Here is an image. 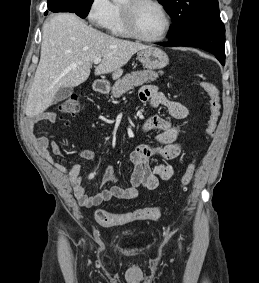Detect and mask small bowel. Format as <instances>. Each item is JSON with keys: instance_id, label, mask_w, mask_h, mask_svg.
Returning <instances> with one entry per match:
<instances>
[{"instance_id": "obj_1", "label": "small bowel", "mask_w": 259, "mask_h": 283, "mask_svg": "<svg viewBox=\"0 0 259 283\" xmlns=\"http://www.w3.org/2000/svg\"><path fill=\"white\" fill-rule=\"evenodd\" d=\"M139 98L141 102H149L154 108L159 106L167 107L170 114L176 119H185L188 116V109L184 105L167 98L154 86L143 87L139 93ZM56 121L57 115L53 112L37 114L27 119L26 130L44 160L53 165L57 172L65 176L75 197L82 206H98L105 201L115 198L133 200L138 196V188L142 187L147 190H154L157 188L159 180L166 181L174 177L175 170L173 166L165 162L177 158L181 153V147L177 142L179 128L164 118L152 116L144 123L143 130L156 131L154 139L157 145L149 146L139 144L130 152L129 160L133 166L131 185L129 187L116 186L117 175L111 166H107L101 183L102 185L109 184L110 186L106 189H102L94 196H89L82 184L83 177L80 165H63L55 162L52 153L56 155L61 154L59 145L55 141L49 142L46 137L37 136L34 133V128L37 123H55ZM77 154L89 161H94L96 158V153L89 149H79ZM154 156H159L165 162L151 167L150 160ZM88 178L93 179L94 176L89 175Z\"/></svg>"}]
</instances>
